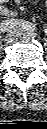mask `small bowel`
I'll list each match as a JSON object with an SVG mask.
<instances>
[{"label": "small bowel", "mask_w": 47, "mask_h": 129, "mask_svg": "<svg viewBox=\"0 0 47 129\" xmlns=\"http://www.w3.org/2000/svg\"><path fill=\"white\" fill-rule=\"evenodd\" d=\"M25 3L36 4L37 0H0V12L5 16H13L24 9ZM10 4H14L15 8H11Z\"/></svg>", "instance_id": "c3829d8e"}]
</instances>
